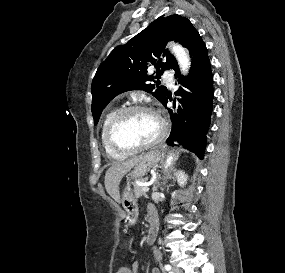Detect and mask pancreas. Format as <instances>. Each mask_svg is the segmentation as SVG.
<instances>
[{"label": "pancreas", "mask_w": 285, "mask_h": 273, "mask_svg": "<svg viewBox=\"0 0 285 273\" xmlns=\"http://www.w3.org/2000/svg\"><path fill=\"white\" fill-rule=\"evenodd\" d=\"M140 181L144 182L146 179H140ZM143 186L141 185H134V194L137 198H140L145 194V192L142 190Z\"/></svg>", "instance_id": "obj_1"}]
</instances>
